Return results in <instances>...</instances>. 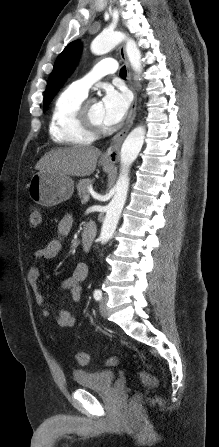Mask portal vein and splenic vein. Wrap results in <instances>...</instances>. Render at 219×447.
Here are the masks:
<instances>
[{"label":"portal vein and splenic vein","instance_id":"1","mask_svg":"<svg viewBox=\"0 0 219 447\" xmlns=\"http://www.w3.org/2000/svg\"><path fill=\"white\" fill-rule=\"evenodd\" d=\"M88 201H89V195H85V196L83 197L82 202H88Z\"/></svg>","mask_w":219,"mask_h":447}]
</instances>
